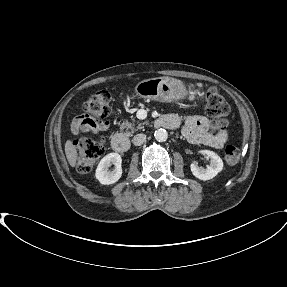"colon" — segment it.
I'll return each instance as SVG.
<instances>
[{"mask_svg":"<svg viewBox=\"0 0 287 287\" xmlns=\"http://www.w3.org/2000/svg\"><path fill=\"white\" fill-rule=\"evenodd\" d=\"M84 111L90 118H106L112 116L114 110L111 104V96L105 90L91 95L83 105ZM206 114L212 118L214 130L222 131L228 125L225 117L230 112V106L219 91L212 87L207 91L205 97ZM77 151V169L81 173L89 172L97 160L104 154V140H93L90 138H79L74 141ZM225 160L234 165L240 160V150L234 145H228L224 150Z\"/></svg>","mask_w":287,"mask_h":287,"instance_id":"5ec220e1","label":"colon"}]
</instances>
